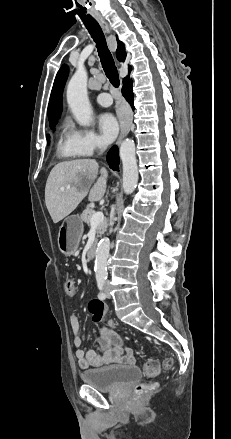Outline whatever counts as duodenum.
<instances>
[{"mask_svg":"<svg viewBox=\"0 0 231 439\" xmlns=\"http://www.w3.org/2000/svg\"><path fill=\"white\" fill-rule=\"evenodd\" d=\"M97 253V246L96 244H93L87 251V259L93 260L96 257Z\"/></svg>","mask_w":231,"mask_h":439,"instance_id":"1","label":"duodenum"}]
</instances>
